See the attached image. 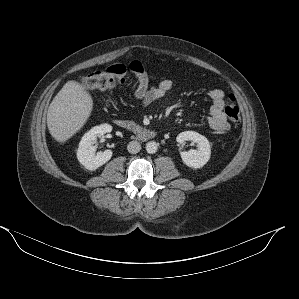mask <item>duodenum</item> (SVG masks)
I'll use <instances>...</instances> for the list:
<instances>
[{"instance_id": "duodenum-1", "label": "duodenum", "mask_w": 299, "mask_h": 299, "mask_svg": "<svg viewBox=\"0 0 299 299\" xmlns=\"http://www.w3.org/2000/svg\"><path fill=\"white\" fill-rule=\"evenodd\" d=\"M115 123L116 125L128 130L139 139H151L155 137V133L153 131L144 128L134 121L118 118L115 120Z\"/></svg>"}]
</instances>
